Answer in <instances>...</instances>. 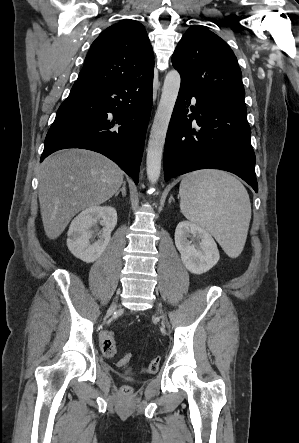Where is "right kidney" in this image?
Listing matches in <instances>:
<instances>
[{"label":"right kidney","instance_id":"1","mask_svg":"<svg viewBox=\"0 0 299 443\" xmlns=\"http://www.w3.org/2000/svg\"><path fill=\"white\" fill-rule=\"evenodd\" d=\"M104 226L96 241H90L97 222ZM117 224V212L111 206H91L76 216L68 230L67 246L78 259L91 263L105 251Z\"/></svg>","mask_w":299,"mask_h":443}]
</instances>
